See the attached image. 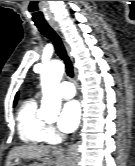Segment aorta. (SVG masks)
I'll return each instance as SVG.
<instances>
[{"label":"aorta","mask_w":135,"mask_h":166,"mask_svg":"<svg viewBox=\"0 0 135 166\" xmlns=\"http://www.w3.org/2000/svg\"><path fill=\"white\" fill-rule=\"evenodd\" d=\"M64 73L62 62L55 60L45 65L41 72L42 101L39 115L43 118L55 117L60 113L61 95L59 83Z\"/></svg>","instance_id":"1"}]
</instances>
